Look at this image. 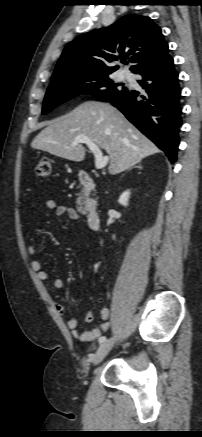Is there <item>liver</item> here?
<instances>
[{
	"instance_id": "6515ba94",
	"label": "liver",
	"mask_w": 202,
	"mask_h": 437,
	"mask_svg": "<svg viewBox=\"0 0 202 437\" xmlns=\"http://www.w3.org/2000/svg\"><path fill=\"white\" fill-rule=\"evenodd\" d=\"M84 135L103 148L109 156L108 171L119 174L159 149L133 126L124 115L107 103L87 101L70 113L48 123L32 141L33 149L80 162L85 148L74 139Z\"/></svg>"
}]
</instances>
